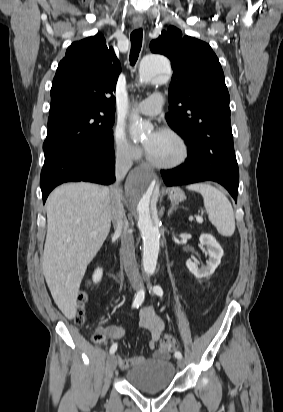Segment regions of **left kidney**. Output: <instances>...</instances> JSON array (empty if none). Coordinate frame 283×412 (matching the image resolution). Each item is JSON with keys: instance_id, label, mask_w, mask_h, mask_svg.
<instances>
[{"instance_id": "left-kidney-1", "label": "left kidney", "mask_w": 283, "mask_h": 412, "mask_svg": "<svg viewBox=\"0 0 283 412\" xmlns=\"http://www.w3.org/2000/svg\"><path fill=\"white\" fill-rule=\"evenodd\" d=\"M199 241L202 245H205L208 250L209 259L206 261V266L199 268L190 259L186 261V266L195 277L205 278L214 273L215 269L221 263V258L224 252L220 244L210 234H201Z\"/></svg>"}]
</instances>
